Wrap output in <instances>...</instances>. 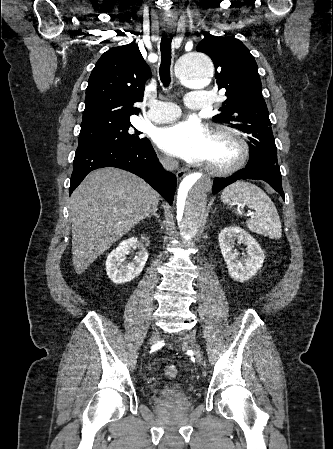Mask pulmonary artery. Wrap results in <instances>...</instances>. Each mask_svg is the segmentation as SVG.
Instances as JSON below:
<instances>
[{
    "instance_id": "pulmonary-artery-1",
    "label": "pulmonary artery",
    "mask_w": 333,
    "mask_h": 449,
    "mask_svg": "<svg viewBox=\"0 0 333 449\" xmlns=\"http://www.w3.org/2000/svg\"><path fill=\"white\" fill-rule=\"evenodd\" d=\"M185 103L191 109H204L213 103V97L209 92L194 90L187 94ZM180 113V108L175 103L155 101L149 103L145 117L153 122L164 123L176 119Z\"/></svg>"
}]
</instances>
